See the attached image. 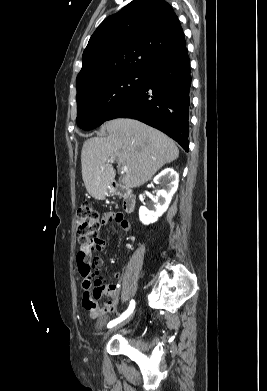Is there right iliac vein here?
Returning <instances> with one entry per match:
<instances>
[{"label":"right iliac vein","instance_id":"1","mask_svg":"<svg viewBox=\"0 0 267 391\" xmlns=\"http://www.w3.org/2000/svg\"><path fill=\"white\" fill-rule=\"evenodd\" d=\"M134 312L131 313L125 320H123L118 325L114 326L113 328L109 329L103 337V341L109 337L110 334H112L114 331H116L118 328L122 327L123 325L127 324L132 318H133Z\"/></svg>","mask_w":267,"mask_h":391}]
</instances>
